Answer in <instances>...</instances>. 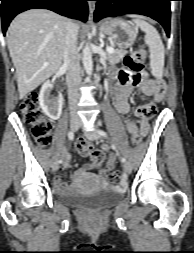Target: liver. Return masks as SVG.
Wrapping results in <instances>:
<instances>
[{
    "label": "liver",
    "instance_id": "liver-1",
    "mask_svg": "<svg viewBox=\"0 0 194 253\" xmlns=\"http://www.w3.org/2000/svg\"><path fill=\"white\" fill-rule=\"evenodd\" d=\"M67 21L52 11L32 9L17 15L11 22L6 35L7 46L16 69L20 99L61 67Z\"/></svg>",
    "mask_w": 194,
    "mask_h": 253
}]
</instances>
